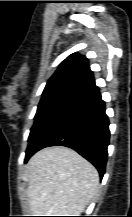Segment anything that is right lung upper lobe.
<instances>
[{"label":"right lung upper lobe","instance_id":"cb5924a9","mask_svg":"<svg viewBox=\"0 0 132 217\" xmlns=\"http://www.w3.org/2000/svg\"><path fill=\"white\" fill-rule=\"evenodd\" d=\"M98 90L88 59L77 53L69 55L49 79L45 93L65 92L81 97Z\"/></svg>","mask_w":132,"mask_h":217}]
</instances>
